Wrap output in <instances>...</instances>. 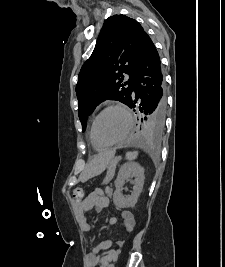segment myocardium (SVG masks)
I'll return each instance as SVG.
<instances>
[{
	"label": "myocardium",
	"instance_id": "myocardium-1",
	"mask_svg": "<svg viewBox=\"0 0 225 267\" xmlns=\"http://www.w3.org/2000/svg\"><path fill=\"white\" fill-rule=\"evenodd\" d=\"M112 109L121 110L126 115L127 121H128V126H127L125 133L122 135L121 138H119L115 141H112V142L103 143L97 137V133H96L97 123L104 113H106L107 111L112 110ZM133 124H134V120H133L132 113L126 106H124L122 104H110V105L104 107L93 119L92 131H91L92 132V138H93L95 143H97L101 146H104V147H111V146L118 145L127 139L130 132L132 131Z\"/></svg>",
	"mask_w": 225,
	"mask_h": 267
}]
</instances>
